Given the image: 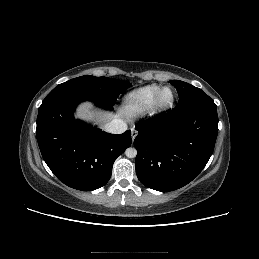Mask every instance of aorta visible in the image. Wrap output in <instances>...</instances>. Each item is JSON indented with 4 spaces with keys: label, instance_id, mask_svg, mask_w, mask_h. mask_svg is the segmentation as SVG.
<instances>
[{
    "label": "aorta",
    "instance_id": "aorta-1",
    "mask_svg": "<svg viewBox=\"0 0 259 259\" xmlns=\"http://www.w3.org/2000/svg\"><path fill=\"white\" fill-rule=\"evenodd\" d=\"M125 154L128 158H135L137 155V150L135 148H128L126 149Z\"/></svg>",
    "mask_w": 259,
    "mask_h": 259
}]
</instances>
